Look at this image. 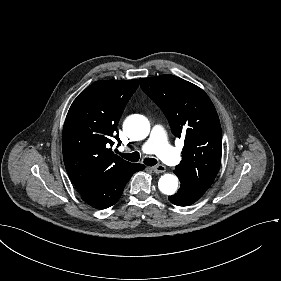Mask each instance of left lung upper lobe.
Segmentation results:
<instances>
[{
	"mask_svg": "<svg viewBox=\"0 0 281 281\" xmlns=\"http://www.w3.org/2000/svg\"><path fill=\"white\" fill-rule=\"evenodd\" d=\"M139 81L167 117L172 133L185 138L175 174L206 192L218 173L222 152L221 126L210 98L198 86L173 75Z\"/></svg>",
	"mask_w": 281,
	"mask_h": 281,
	"instance_id": "1",
	"label": "left lung upper lobe"
}]
</instances>
